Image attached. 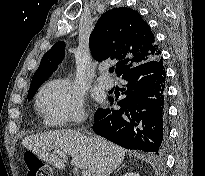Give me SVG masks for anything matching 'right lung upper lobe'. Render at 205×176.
<instances>
[{
  "label": "right lung upper lobe",
  "mask_w": 205,
  "mask_h": 176,
  "mask_svg": "<svg viewBox=\"0 0 205 176\" xmlns=\"http://www.w3.org/2000/svg\"><path fill=\"white\" fill-rule=\"evenodd\" d=\"M89 45L97 61L111 59L116 62L119 77L147 60L162 58L150 26L138 12L125 7L109 10L100 17L90 35ZM64 47L63 42H57L45 53L29 91L38 89L52 75L64 58Z\"/></svg>",
  "instance_id": "1"
}]
</instances>
